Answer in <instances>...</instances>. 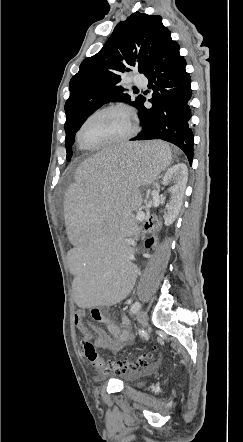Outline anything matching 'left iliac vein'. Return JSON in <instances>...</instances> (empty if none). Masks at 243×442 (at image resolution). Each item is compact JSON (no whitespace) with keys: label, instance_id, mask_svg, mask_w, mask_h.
<instances>
[{"label":"left iliac vein","instance_id":"4c4485c4","mask_svg":"<svg viewBox=\"0 0 243 442\" xmlns=\"http://www.w3.org/2000/svg\"><path fill=\"white\" fill-rule=\"evenodd\" d=\"M148 320L147 313L144 310H139L137 313V321L141 326H145Z\"/></svg>","mask_w":243,"mask_h":442}]
</instances>
